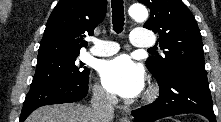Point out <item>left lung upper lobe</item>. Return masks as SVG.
<instances>
[{"label":"left lung upper lobe","mask_w":221,"mask_h":122,"mask_svg":"<svg viewBox=\"0 0 221 122\" xmlns=\"http://www.w3.org/2000/svg\"><path fill=\"white\" fill-rule=\"evenodd\" d=\"M150 9L144 27L159 34L164 56H151L148 70L157 80L168 79L180 70L205 72L200 30L182 0H138Z\"/></svg>","instance_id":"1"}]
</instances>
